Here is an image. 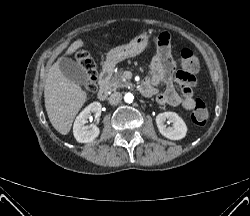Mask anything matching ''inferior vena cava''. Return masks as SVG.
<instances>
[{
  "instance_id": "inferior-vena-cava-1",
  "label": "inferior vena cava",
  "mask_w": 250,
  "mask_h": 216,
  "mask_svg": "<svg viewBox=\"0 0 250 216\" xmlns=\"http://www.w3.org/2000/svg\"><path fill=\"white\" fill-rule=\"evenodd\" d=\"M111 105H117L122 100V94L120 92H114L108 98Z\"/></svg>"
}]
</instances>
